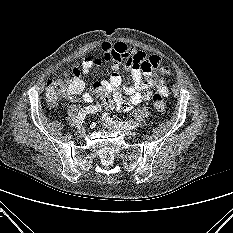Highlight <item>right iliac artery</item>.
<instances>
[{"label":"right iliac artery","mask_w":233,"mask_h":233,"mask_svg":"<svg viewBox=\"0 0 233 233\" xmlns=\"http://www.w3.org/2000/svg\"><path fill=\"white\" fill-rule=\"evenodd\" d=\"M98 111H101V105H94V106H89L84 109H82L77 118H76V127L80 128L85 117L89 114L96 113Z\"/></svg>","instance_id":"1"}]
</instances>
